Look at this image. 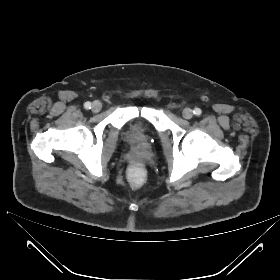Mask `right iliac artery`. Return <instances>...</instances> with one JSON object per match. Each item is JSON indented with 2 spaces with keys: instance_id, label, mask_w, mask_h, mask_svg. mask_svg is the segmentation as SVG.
Listing matches in <instances>:
<instances>
[{
  "instance_id": "1",
  "label": "right iliac artery",
  "mask_w": 280,
  "mask_h": 280,
  "mask_svg": "<svg viewBox=\"0 0 280 280\" xmlns=\"http://www.w3.org/2000/svg\"><path fill=\"white\" fill-rule=\"evenodd\" d=\"M84 107H85L86 109H90V108H91V103H90V102H86V103L84 104Z\"/></svg>"
}]
</instances>
